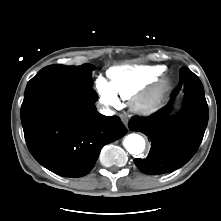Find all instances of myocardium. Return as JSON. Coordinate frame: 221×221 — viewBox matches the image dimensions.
Returning <instances> with one entry per match:
<instances>
[{
	"label": "myocardium",
	"mask_w": 221,
	"mask_h": 221,
	"mask_svg": "<svg viewBox=\"0 0 221 221\" xmlns=\"http://www.w3.org/2000/svg\"><path fill=\"white\" fill-rule=\"evenodd\" d=\"M168 88L169 82L167 79L159 80L149 92L135 98L133 109L145 115L155 112L162 103Z\"/></svg>",
	"instance_id": "obj_1"
}]
</instances>
